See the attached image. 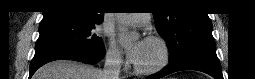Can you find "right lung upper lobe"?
<instances>
[{"mask_svg":"<svg viewBox=\"0 0 255 79\" xmlns=\"http://www.w3.org/2000/svg\"><path fill=\"white\" fill-rule=\"evenodd\" d=\"M97 0H50L43 11L42 21L52 19H74L100 23L103 14L98 13Z\"/></svg>","mask_w":255,"mask_h":79,"instance_id":"1","label":"right lung upper lobe"}]
</instances>
